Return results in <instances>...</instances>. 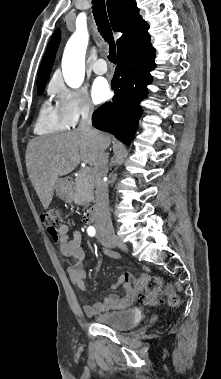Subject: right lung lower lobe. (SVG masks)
I'll return each instance as SVG.
<instances>
[{"label": "right lung lower lobe", "mask_w": 221, "mask_h": 379, "mask_svg": "<svg viewBox=\"0 0 221 379\" xmlns=\"http://www.w3.org/2000/svg\"><path fill=\"white\" fill-rule=\"evenodd\" d=\"M149 29V28H148ZM148 29L118 50L117 68L112 80L115 96L92 115V124L129 145L142 114L140 102L147 96L155 68V49Z\"/></svg>", "instance_id": "1"}]
</instances>
